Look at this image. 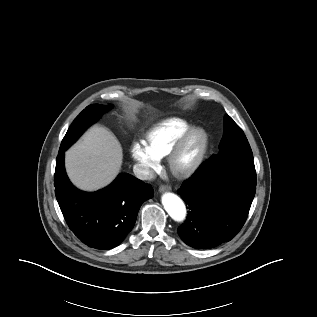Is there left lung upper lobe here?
<instances>
[{
	"label": "left lung upper lobe",
	"instance_id": "left-lung-upper-lobe-1",
	"mask_svg": "<svg viewBox=\"0 0 317 317\" xmlns=\"http://www.w3.org/2000/svg\"><path fill=\"white\" fill-rule=\"evenodd\" d=\"M219 148V154L237 153L253 158L251 147L242 129L227 114L224 117V135Z\"/></svg>",
	"mask_w": 317,
	"mask_h": 317
}]
</instances>
